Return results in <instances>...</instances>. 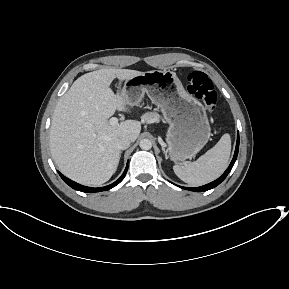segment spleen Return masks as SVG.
I'll return each mask as SVG.
<instances>
[{"mask_svg": "<svg viewBox=\"0 0 289 289\" xmlns=\"http://www.w3.org/2000/svg\"><path fill=\"white\" fill-rule=\"evenodd\" d=\"M231 152V139L224 134L218 143L194 162L174 165L175 174L192 186L207 184L226 169Z\"/></svg>", "mask_w": 289, "mask_h": 289, "instance_id": "1", "label": "spleen"}]
</instances>
